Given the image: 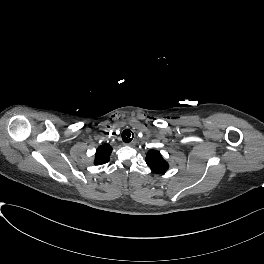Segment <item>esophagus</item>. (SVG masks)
Returning <instances> with one entry per match:
<instances>
[{"label": "esophagus", "instance_id": "34e87169", "mask_svg": "<svg viewBox=\"0 0 264 264\" xmlns=\"http://www.w3.org/2000/svg\"><path fill=\"white\" fill-rule=\"evenodd\" d=\"M125 145L133 146L134 145V142L126 143Z\"/></svg>", "mask_w": 264, "mask_h": 264}]
</instances>
